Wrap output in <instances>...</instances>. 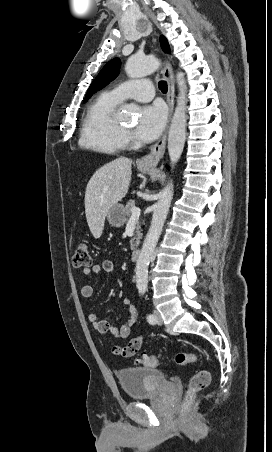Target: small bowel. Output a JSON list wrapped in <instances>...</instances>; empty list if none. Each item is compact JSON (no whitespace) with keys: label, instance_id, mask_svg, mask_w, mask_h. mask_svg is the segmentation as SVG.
I'll use <instances>...</instances> for the list:
<instances>
[{"label":"small bowel","instance_id":"1","mask_svg":"<svg viewBox=\"0 0 272 452\" xmlns=\"http://www.w3.org/2000/svg\"><path fill=\"white\" fill-rule=\"evenodd\" d=\"M114 271V263L111 260H102L99 263H96L92 265L91 267H87L83 270L84 275L90 276V275H96L100 274L102 272L105 273H112ZM81 295L84 298H91L94 295V287L91 284H84L81 287ZM123 303L126 306L129 317L127 321L118 327L113 326L109 321L100 319L99 316L96 313H91L88 317L89 321L91 322L94 330L98 332L101 335L105 334H111L113 337L117 339H128L131 337L132 334V327L136 324L138 320V312L132 301L129 297H125L123 299ZM132 340H137L139 342V350L142 345L143 336H137L132 338ZM129 341V342H130ZM120 346L113 347L112 351L115 355L123 356L121 354L116 353L114 348H117Z\"/></svg>","mask_w":272,"mask_h":452}]
</instances>
